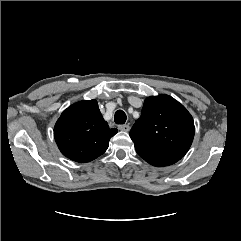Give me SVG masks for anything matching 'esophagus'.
I'll return each instance as SVG.
<instances>
[{
    "label": "esophagus",
    "mask_w": 241,
    "mask_h": 241,
    "mask_svg": "<svg viewBox=\"0 0 241 241\" xmlns=\"http://www.w3.org/2000/svg\"><path fill=\"white\" fill-rule=\"evenodd\" d=\"M118 129L120 131H124V132H128L130 130V126L128 124H124V125H119Z\"/></svg>",
    "instance_id": "esophagus-1"
}]
</instances>
